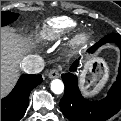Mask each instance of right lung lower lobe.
<instances>
[{
  "mask_svg": "<svg viewBox=\"0 0 121 121\" xmlns=\"http://www.w3.org/2000/svg\"><path fill=\"white\" fill-rule=\"evenodd\" d=\"M41 82V75H22L12 92L1 99V121H19L28 107L31 90Z\"/></svg>",
  "mask_w": 121,
  "mask_h": 121,
  "instance_id": "obj_1",
  "label": "right lung lower lobe"
}]
</instances>
